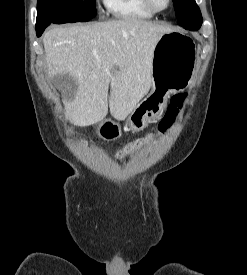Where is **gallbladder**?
<instances>
[{"label":"gallbladder","instance_id":"obj_1","mask_svg":"<svg viewBox=\"0 0 247 275\" xmlns=\"http://www.w3.org/2000/svg\"><path fill=\"white\" fill-rule=\"evenodd\" d=\"M52 83L61 92L72 91L74 92L77 88L75 80L68 74H58L52 78Z\"/></svg>","mask_w":247,"mask_h":275}]
</instances>
